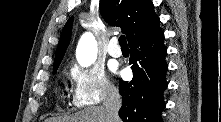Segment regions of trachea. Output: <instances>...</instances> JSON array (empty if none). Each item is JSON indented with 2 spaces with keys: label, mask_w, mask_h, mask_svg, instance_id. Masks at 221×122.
<instances>
[{
  "label": "trachea",
  "mask_w": 221,
  "mask_h": 122,
  "mask_svg": "<svg viewBox=\"0 0 221 122\" xmlns=\"http://www.w3.org/2000/svg\"><path fill=\"white\" fill-rule=\"evenodd\" d=\"M119 43L121 47H127V41L124 35L119 37Z\"/></svg>",
  "instance_id": "3493384b"
}]
</instances>
